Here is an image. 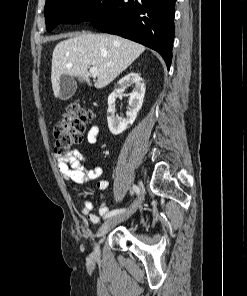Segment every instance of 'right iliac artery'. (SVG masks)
Returning <instances> with one entry per match:
<instances>
[{"label":"right iliac artery","mask_w":247,"mask_h":296,"mask_svg":"<svg viewBox=\"0 0 247 296\" xmlns=\"http://www.w3.org/2000/svg\"><path fill=\"white\" fill-rule=\"evenodd\" d=\"M133 191H134L136 194H139V193H140V189H139V187L136 186V185H133ZM125 210H126L125 208L112 210V211H110L109 214L106 215L104 218L106 219V218H109V217L115 216V215H117V214H119V213L124 212Z\"/></svg>","instance_id":"obj_1"}]
</instances>
